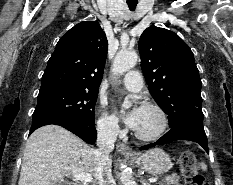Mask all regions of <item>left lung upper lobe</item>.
Here are the masks:
<instances>
[{
  "instance_id": "1",
  "label": "left lung upper lobe",
  "mask_w": 233,
  "mask_h": 185,
  "mask_svg": "<svg viewBox=\"0 0 233 185\" xmlns=\"http://www.w3.org/2000/svg\"><path fill=\"white\" fill-rule=\"evenodd\" d=\"M149 91L168 114L169 126L202 113L201 79L189 46L174 32L150 26L139 39Z\"/></svg>"
}]
</instances>
